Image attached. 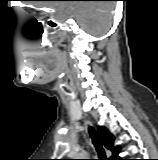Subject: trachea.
I'll return each instance as SVG.
<instances>
[{
    "instance_id": "obj_1",
    "label": "trachea",
    "mask_w": 158,
    "mask_h": 160,
    "mask_svg": "<svg viewBox=\"0 0 158 160\" xmlns=\"http://www.w3.org/2000/svg\"><path fill=\"white\" fill-rule=\"evenodd\" d=\"M89 134L92 138V142H93V144L96 148V151L98 152V155H99V159H97V160H107L104 149H103L101 143L99 142L97 135H96V132L93 127H89Z\"/></svg>"
}]
</instances>
